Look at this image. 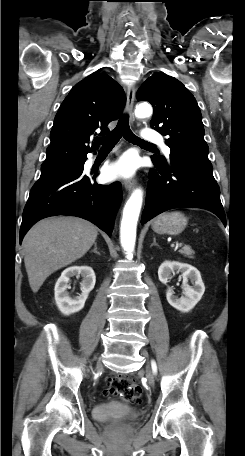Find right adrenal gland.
Listing matches in <instances>:
<instances>
[{"mask_svg": "<svg viewBox=\"0 0 245 456\" xmlns=\"http://www.w3.org/2000/svg\"><path fill=\"white\" fill-rule=\"evenodd\" d=\"M91 252H94V253L100 255V253L97 251V243H94V249Z\"/></svg>", "mask_w": 245, "mask_h": 456, "instance_id": "obj_1", "label": "right adrenal gland"}]
</instances>
